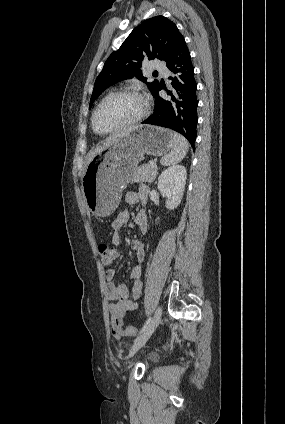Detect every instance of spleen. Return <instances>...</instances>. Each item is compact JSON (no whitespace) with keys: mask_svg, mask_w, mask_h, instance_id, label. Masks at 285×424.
Listing matches in <instances>:
<instances>
[{"mask_svg":"<svg viewBox=\"0 0 285 424\" xmlns=\"http://www.w3.org/2000/svg\"><path fill=\"white\" fill-rule=\"evenodd\" d=\"M173 138L174 143L171 151L161 158L162 165H174L180 162L188 152L189 144L182 135L173 133Z\"/></svg>","mask_w":285,"mask_h":424,"instance_id":"obj_1","label":"spleen"}]
</instances>
